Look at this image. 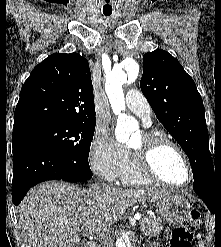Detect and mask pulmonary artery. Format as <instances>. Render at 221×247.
Returning <instances> with one entry per match:
<instances>
[{
  "label": "pulmonary artery",
  "instance_id": "pulmonary-artery-1",
  "mask_svg": "<svg viewBox=\"0 0 221 247\" xmlns=\"http://www.w3.org/2000/svg\"><path fill=\"white\" fill-rule=\"evenodd\" d=\"M125 103L127 109L141 118L146 126L151 124V108L140 91L136 89L129 90L126 94Z\"/></svg>",
  "mask_w": 221,
  "mask_h": 247
}]
</instances>
